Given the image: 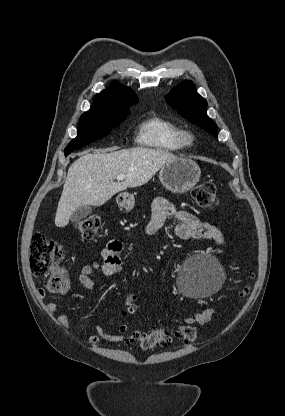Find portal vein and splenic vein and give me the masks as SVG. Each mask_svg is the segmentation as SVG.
I'll return each instance as SVG.
<instances>
[{
    "label": "portal vein and splenic vein",
    "instance_id": "18ae733b",
    "mask_svg": "<svg viewBox=\"0 0 285 416\" xmlns=\"http://www.w3.org/2000/svg\"><path fill=\"white\" fill-rule=\"evenodd\" d=\"M125 178H127L126 174H118V176H116V180H118V182H123Z\"/></svg>",
    "mask_w": 285,
    "mask_h": 416
}]
</instances>
